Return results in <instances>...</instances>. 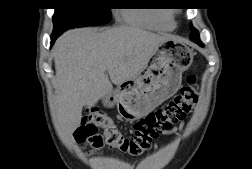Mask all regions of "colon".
I'll return each mask as SVG.
<instances>
[{"instance_id": "5ec220e1", "label": "colon", "mask_w": 252, "mask_h": 169, "mask_svg": "<svg viewBox=\"0 0 252 169\" xmlns=\"http://www.w3.org/2000/svg\"><path fill=\"white\" fill-rule=\"evenodd\" d=\"M186 81L187 84L175 98L140 119L130 135H125L106 113L94 109L87 110L75 131L76 141L82 145H89L96 151L108 146L125 155H143L149 150L154 139L183 120L197 102L195 76L188 75Z\"/></svg>"}]
</instances>
